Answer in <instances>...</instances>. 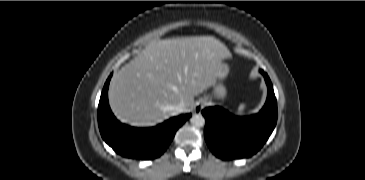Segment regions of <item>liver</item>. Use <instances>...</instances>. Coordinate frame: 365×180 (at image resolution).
<instances>
[{"label": "liver", "instance_id": "obj_1", "mask_svg": "<svg viewBox=\"0 0 365 180\" xmlns=\"http://www.w3.org/2000/svg\"><path fill=\"white\" fill-rule=\"evenodd\" d=\"M227 47L213 36L151 42L123 66L109 87V103L116 117L134 126H153L176 115L174 107H194V97L213 85Z\"/></svg>", "mask_w": 365, "mask_h": 180}]
</instances>
